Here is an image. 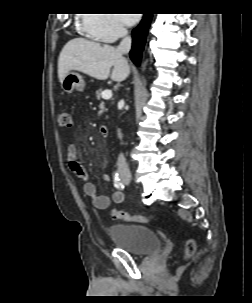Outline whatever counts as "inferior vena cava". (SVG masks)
Segmentation results:
<instances>
[{"label": "inferior vena cava", "instance_id": "602c4592", "mask_svg": "<svg viewBox=\"0 0 252 303\" xmlns=\"http://www.w3.org/2000/svg\"><path fill=\"white\" fill-rule=\"evenodd\" d=\"M121 32V36H122V41L120 42L117 51L120 52L121 54H128L130 49H131V43H132V39L130 36H128V31L126 28L121 27L120 29ZM117 168H118V172L123 175V174H130V170L128 167V164L126 162V159L124 157V155L121 153L118 156L117 159Z\"/></svg>", "mask_w": 252, "mask_h": 303}]
</instances>
